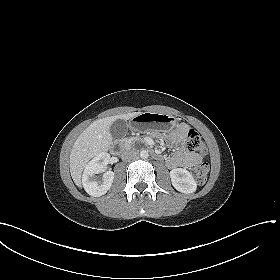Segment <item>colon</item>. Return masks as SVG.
I'll list each match as a JSON object with an SVG mask.
<instances>
[{"mask_svg": "<svg viewBox=\"0 0 280 280\" xmlns=\"http://www.w3.org/2000/svg\"><path fill=\"white\" fill-rule=\"evenodd\" d=\"M187 149L191 152H204L205 144L200 134L190 129L185 137ZM209 172V164L207 161H202L192 168V174L199 184H203L207 180Z\"/></svg>", "mask_w": 280, "mask_h": 280, "instance_id": "5ec220e1", "label": "colon"}]
</instances>
